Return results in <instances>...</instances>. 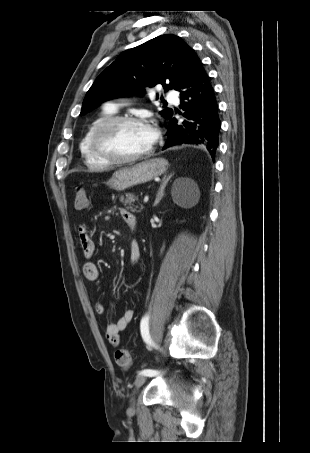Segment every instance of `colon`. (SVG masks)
Here are the masks:
<instances>
[{"label":"colon","instance_id":"colon-1","mask_svg":"<svg viewBox=\"0 0 310 453\" xmlns=\"http://www.w3.org/2000/svg\"><path fill=\"white\" fill-rule=\"evenodd\" d=\"M88 204L89 200L85 189L83 187H76L74 199L75 208L78 210H83L88 207ZM115 361L118 366L127 369L132 364L131 353L127 349H119L115 352Z\"/></svg>","mask_w":310,"mask_h":453}]
</instances>
